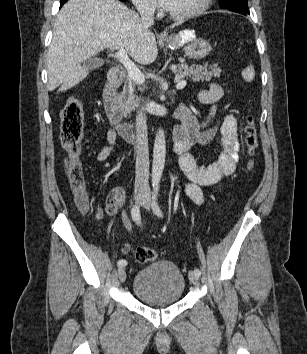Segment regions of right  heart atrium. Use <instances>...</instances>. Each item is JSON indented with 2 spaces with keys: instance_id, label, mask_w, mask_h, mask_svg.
Wrapping results in <instances>:
<instances>
[{
  "instance_id": "obj_1",
  "label": "right heart atrium",
  "mask_w": 307,
  "mask_h": 354,
  "mask_svg": "<svg viewBox=\"0 0 307 354\" xmlns=\"http://www.w3.org/2000/svg\"><path fill=\"white\" fill-rule=\"evenodd\" d=\"M135 7L144 13H152L155 10L154 0H132Z\"/></svg>"
}]
</instances>
